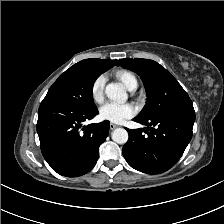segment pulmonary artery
I'll list each match as a JSON object with an SVG mask.
<instances>
[{
    "label": "pulmonary artery",
    "mask_w": 224,
    "mask_h": 224,
    "mask_svg": "<svg viewBox=\"0 0 224 224\" xmlns=\"http://www.w3.org/2000/svg\"><path fill=\"white\" fill-rule=\"evenodd\" d=\"M137 88V85L132 86L131 88H129L130 91H134Z\"/></svg>",
    "instance_id": "obj_1"
}]
</instances>
